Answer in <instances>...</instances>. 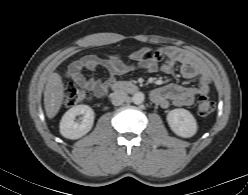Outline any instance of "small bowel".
<instances>
[{
    "label": "small bowel",
    "instance_id": "small-bowel-1",
    "mask_svg": "<svg viewBox=\"0 0 248 195\" xmlns=\"http://www.w3.org/2000/svg\"><path fill=\"white\" fill-rule=\"evenodd\" d=\"M159 50L166 55V60L162 64L152 58H148V54L151 52L150 47H142L132 52L130 54L131 62H124L117 58L101 61L94 56H88L71 64L68 77L78 86L85 87L95 96L101 97L118 76L136 69H142L148 73L161 70L166 74H173L175 66L179 64L182 76L188 79H197V85L167 84L156 88L151 92V98L156 104L163 108L170 105L188 106L194 102L196 96H204L209 93L211 86L210 72L200 60L187 51L170 47H162ZM99 67H103L108 71L107 78H87L84 75V72L93 73Z\"/></svg>",
    "mask_w": 248,
    "mask_h": 195
}]
</instances>
